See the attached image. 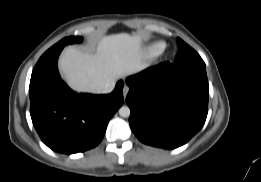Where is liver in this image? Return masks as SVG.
<instances>
[{
    "label": "liver",
    "mask_w": 261,
    "mask_h": 182,
    "mask_svg": "<svg viewBox=\"0 0 261 182\" xmlns=\"http://www.w3.org/2000/svg\"><path fill=\"white\" fill-rule=\"evenodd\" d=\"M59 66L72 89L99 93L106 84L115 85L118 78L146 67L142 39L127 33L104 36L95 54L68 47L60 57Z\"/></svg>",
    "instance_id": "liver-1"
}]
</instances>
